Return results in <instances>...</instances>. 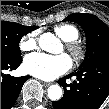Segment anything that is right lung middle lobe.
Returning a JSON list of instances; mask_svg holds the SVG:
<instances>
[{
  "label": "right lung middle lobe",
  "instance_id": "obj_1",
  "mask_svg": "<svg viewBox=\"0 0 109 109\" xmlns=\"http://www.w3.org/2000/svg\"><path fill=\"white\" fill-rule=\"evenodd\" d=\"M37 28V26H24L14 22L1 21V59L21 58L19 42L22 36Z\"/></svg>",
  "mask_w": 109,
  "mask_h": 109
}]
</instances>
